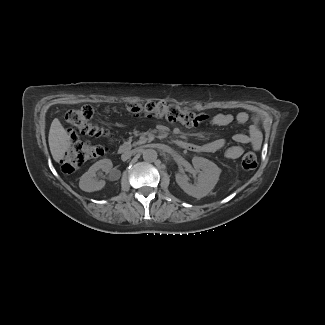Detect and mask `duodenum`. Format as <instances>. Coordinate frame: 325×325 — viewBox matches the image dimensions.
Instances as JSON below:
<instances>
[{
  "mask_svg": "<svg viewBox=\"0 0 325 325\" xmlns=\"http://www.w3.org/2000/svg\"><path fill=\"white\" fill-rule=\"evenodd\" d=\"M174 144L180 149H188L192 146L190 143L182 140H176L174 141ZM130 151H131V145L128 143L121 144L118 149V152L121 155L128 154Z\"/></svg>",
  "mask_w": 325,
  "mask_h": 325,
  "instance_id": "410a0bca",
  "label": "duodenum"
}]
</instances>
